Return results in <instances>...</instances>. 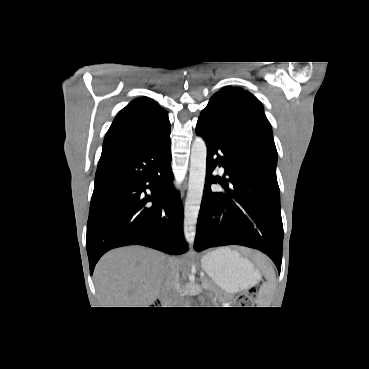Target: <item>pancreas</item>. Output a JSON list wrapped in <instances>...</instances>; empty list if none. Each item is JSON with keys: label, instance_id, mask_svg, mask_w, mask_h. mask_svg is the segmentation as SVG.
I'll return each instance as SVG.
<instances>
[{"label": "pancreas", "instance_id": "obj_1", "mask_svg": "<svg viewBox=\"0 0 369 369\" xmlns=\"http://www.w3.org/2000/svg\"><path fill=\"white\" fill-rule=\"evenodd\" d=\"M202 287L208 291L218 292L217 287L207 279H203Z\"/></svg>", "mask_w": 369, "mask_h": 369}]
</instances>
